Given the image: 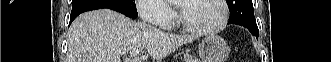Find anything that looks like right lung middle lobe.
Segmentation results:
<instances>
[{
	"mask_svg": "<svg viewBox=\"0 0 331 62\" xmlns=\"http://www.w3.org/2000/svg\"><path fill=\"white\" fill-rule=\"evenodd\" d=\"M100 8L119 11L130 18L138 16L135 0H72L71 14Z\"/></svg>",
	"mask_w": 331,
	"mask_h": 62,
	"instance_id": "1",
	"label": "right lung middle lobe"
}]
</instances>
